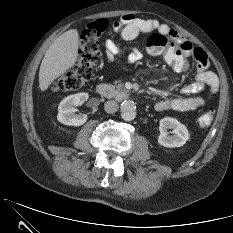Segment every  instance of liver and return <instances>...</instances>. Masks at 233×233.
I'll return each instance as SVG.
<instances>
[{
	"label": "liver",
	"mask_w": 233,
	"mask_h": 233,
	"mask_svg": "<svg viewBox=\"0 0 233 233\" xmlns=\"http://www.w3.org/2000/svg\"><path fill=\"white\" fill-rule=\"evenodd\" d=\"M79 33L71 29L59 36L46 51L39 70V88L46 91L51 83L77 61Z\"/></svg>",
	"instance_id": "obj_1"
}]
</instances>
